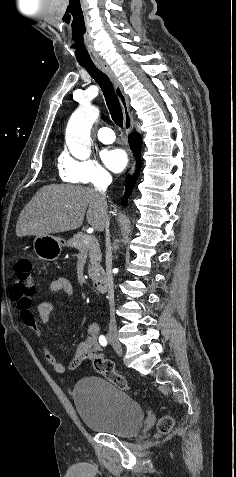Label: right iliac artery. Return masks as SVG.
I'll list each match as a JSON object with an SVG mask.
<instances>
[{
	"instance_id": "obj_1",
	"label": "right iliac artery",
	"mask_w": 236,
	"mask_h": 477,
	"mask_svg": "<svg viewBox=\"0 0 236 477\" xmlns=\"http://www.w3.org/2000/svg\"><path fill=\"white\" fill-rule=\"evenodd\" d=\"M99 343L102 345V346H106L107 345V339L104 335H100L99 337Z\"/></svg>"
}]
</instances>
